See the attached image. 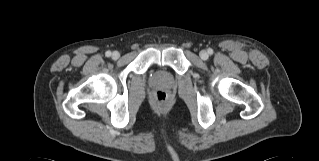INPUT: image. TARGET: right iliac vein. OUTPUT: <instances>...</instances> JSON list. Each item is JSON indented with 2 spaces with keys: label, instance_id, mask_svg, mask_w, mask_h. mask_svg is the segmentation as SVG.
<instances>
[{
  "label": "right iliac vein",
  "instance_id": "1",
  "mask_svg": "<svg viewBox=\"0 0 319 161\" xmlns=\"http://www.w3.org/2000/svg\"><path fill=\"white\" fill-rule=\"evenodd\" d=\"M120 57V53L117 51H114L112 53V59L117 60Z\"/></svg>",
  "mask_w": 319,
  "mask_h": 161
}]
</instances>
